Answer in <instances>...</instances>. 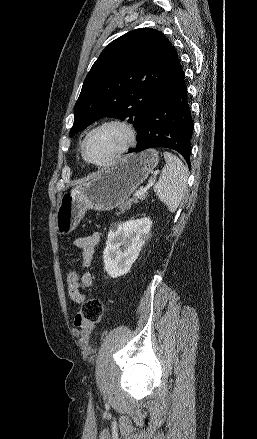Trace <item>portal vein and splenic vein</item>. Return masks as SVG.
<instances>
[{
    "label": "portal vein and splenic vein",
    "instance_id": "18ae733b",
    "mask_svg": "<svg viewBox=\"0 0 257 439\" xmlns=\"http://www.w3.org/2000/svg\"><path fill=\"white\" fill-rule=\"evenodd\" d=\"M154 182H155V178H152L149 181L148 185L146 187H141L138 191L135 192L134 196H140L144 194L147 191V189L154 184Z\"/></svg>",
    "mask_w": 257,
    "mask_h": 439
}]
</instances>
